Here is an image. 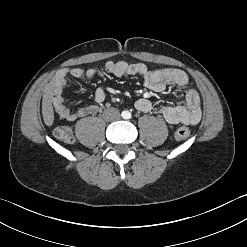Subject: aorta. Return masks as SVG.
Listing matches in <instances>:
<instances>
[{"label": "aorta", "instance_id": "obj_1", "mask_svg": "<svg viewBox=\"0 0 247 247\" xmlns=\"http://www.w3.org/2000/svg\"><path fill=\"white\" fill-rule=\"evenodd\" d=\"M130 116H131V114H130V112H128V111H124V112L122 113V117H123L124 119L130 118Z\"/></svg>", "mask_w": 247, "mask_h": 247}]
</instances>
